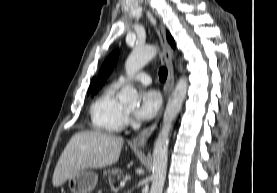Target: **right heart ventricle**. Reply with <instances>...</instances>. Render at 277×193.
Segmentation results:
<instances>
[{
  "mask_svg": "<svg viewBox=\"0 0 277 193\" xmlns=\"http://www.w3.org/2000/svg\"><path fill=\"white\" fill-rule=\"evenodd\" d=\"M117 89L116 84L107 86L91 104V126L96 132L114 134L125 126L126 113L116 98Z\"/></svg>",
  "mask_w": 277,
  "mask_h": 193,
  "instance_id": "1",
  "label": "right heart ventricle"
}]
</instances>
